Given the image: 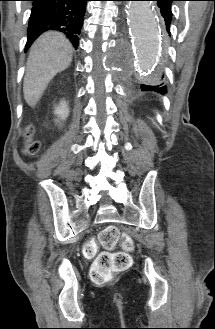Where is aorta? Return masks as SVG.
Wrapping results in <instances>:
<instances>
[{
  "mask_svg": "<svg viewBox=\"0 0 215 329\" xmlns=\"http://www.w3.org/2000/svg\"><path fill=\"white\" fill-rule=\"evenodd\" d=\"M128 29L131 33L141 67L151 70L158 60L161 43V20L150 1L126 2Z\"/></svg>",
  "mask_w": 215,
  "mask_h": 329,
  "instance_id": "1",
  "label": "aorta"
}]
</instances>
